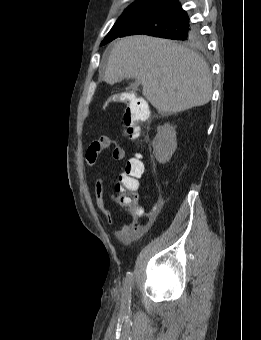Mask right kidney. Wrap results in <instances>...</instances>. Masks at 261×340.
I'll use <instances>...</instances> for the list:
<instances>
[{
    "instance_id": "1",
    "label": "right kidney",
    "mask_w": 261,
    "mask_h": 340,
    "mask_svg": "<svg viewBox=\"0 0 261 340\" xmlns=\"http://www.w3.org/2000/svg\"><path fill=\"white\" fill-rule=\"evenodd\" d=\"M152 145L156 160L162 164L169 162L177 148L175 126L169 123L158 126Z\"/></svg>"
}]
</instances>
